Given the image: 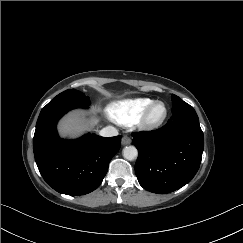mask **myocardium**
<instances>
[{
    "label": "myocardium",
    "instance_id": "f54148a6",
    "mask_svg": "<svg viewBox=\"0 0 243 243\" xmlns=\"http://www.w3.org/2000/svg\"><path fill=\"white\" fill-rule=\"evenodd\" d=\"M158 105H162L164 107V114L163 116L156 121L151 120V113L154 108ZM168 117V106L163 101H154L149 107L144 111L141 118L139 119L138 123L139 126L145 130H154L159 128L167 119Z\"/></svg>",
    "mask_w": 243,
    "mask_h": 243
}]
</instances>
